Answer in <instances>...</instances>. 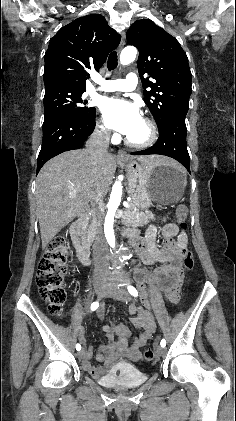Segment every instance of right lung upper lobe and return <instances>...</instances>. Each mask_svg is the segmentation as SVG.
Listing matches in <instances>:
<instances>
[{"label": "right lung upper lobe", "instance_id": "cb5924a9", "mask_svg": "<svg viewBox=\"0 0 236 421\" xmlns=\"http://www.w3.org/2000/svg\"><path fill=\"white\" fill-rule=\"evenodd\" d=\"M120 39L100 14L80 17L62 27L45 53V88L86 90V70L98 71Z\"/></svg>", "mask_w": 236, "mask_h": 421}]
</instances>
